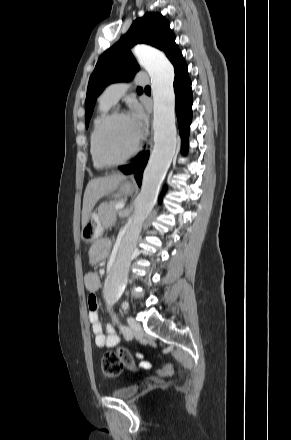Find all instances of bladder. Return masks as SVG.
Listing matches in <instances>:
<instances>
[{
  "instance_id": "31cf9c89",
  "label": "bladder",
  "mask_w": 291,
  "mask_h": 440,
  "mask_svg": "<svg viewBox=\"0 0 291 440\" xmlns=\"http://www.w3.org/2000/svg\"><path fill=\"white\" fill-rule=\"evenodd\" d=\"M137 392V387L133 385L125 386L112 391V395L121 400L130 399Z\"/></svg>"
}]
</instances>
